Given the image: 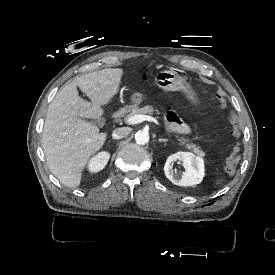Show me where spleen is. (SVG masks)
<instances>
[{
  "label": "spleen",
  "mask_w": 275,
  "mask_h": 275,
  "mask_svg": "<svg viewBox=\"0 0 275 275\" xmlns=\"http://www.w3.org/2000/svg\"><path fill=\"white\" fill-rule=\"evenodd\" d=\"M224 181H225L224 176H219V177H217V179L215 180V186H220V185H222Z\"/></svg>",
  "instance_id": "1"
}]
</instances>
